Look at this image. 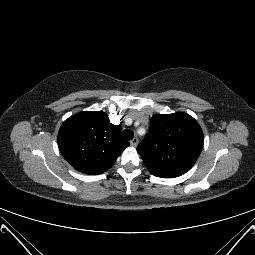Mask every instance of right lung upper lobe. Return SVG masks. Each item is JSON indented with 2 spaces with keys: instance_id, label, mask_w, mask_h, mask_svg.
I'll return each instance as SVG.
<instances>
[{
  "instance_id": "right-lung-upper-lobe-1",
  "label": "right lung upper lobe",
  "mask_w": 255,
  "mask_h": 255,
  "mask_svg": "<svg viewBox=\"0 0 255 255\" xmlns=\"http://www.w3.org/2000/svg\"><path fill=\"white\" fill-rule=\"evenodd\" d=\"M129 142L121 138L120 125L110 123L105 112H80L63 122L58 147L77 171L98 175L108 170Z\"/></svg>"
}]
</instances>
